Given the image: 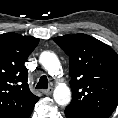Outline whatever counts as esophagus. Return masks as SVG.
Wrapping results in <instances>:
<instances>
[{
	"instance_id": "1",
	"label": "esophagus",
	"mask_w": 118,
	"mask_h": 118,
	"mask_svg": "<svg viewBox=\"0 0 118 118\" xmlns=\"http://www.w3.org/2000/svg\"><path fill=\"white\" fill-rule=\"evenodd\" d=\"M42 92H43V94H45L47 96H50L52 94V92H53V88L50 87V88H48L46 90H42Z\"/></svg>"
}]
</instances>
